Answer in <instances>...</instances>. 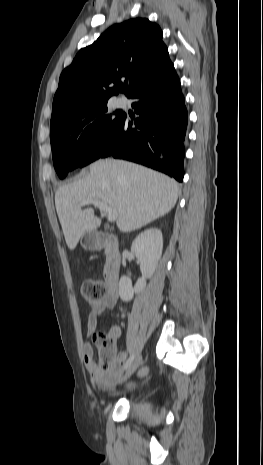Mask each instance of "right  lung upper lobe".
<instances>
[{
  "instance_id": "right-lung-upper-lobe-1",
  "label": "right lung upper lobe",
  "mask_w": 263,
  "mask_h": 465,
  "mask_svg": "<svg viewBox=\"0 0 263 465\" xmlns=\"http://www.w3.org/2000/svg\"><path fill=\"white\" fill-rule=\"evenodd\" d=\"M162 36L158 25L135 18L111 26L92 45L81 49L60 76L51 123L120 92L129 97L167 72L173 64ZM122 81L126 88H121Z\"/></svg>"
}]
</instances>
